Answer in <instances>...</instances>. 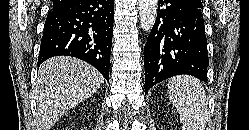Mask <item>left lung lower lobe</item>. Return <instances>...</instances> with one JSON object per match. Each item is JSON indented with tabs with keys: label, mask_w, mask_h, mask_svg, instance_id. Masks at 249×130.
<instances>
[{
	"label": "left lung lower lobe",
	"mask_w": 249,
	"mask_h": 130,
	"mask_svg": "<svg viewBox=\"0 0 249 130\" xmlns=\"http://www.w3.org/2000/svg\"><path fill=\"white\" fill-rule=\"evenodd\" d=\"M145 94L176 75L207 82L209 66L202 11L185 0H159L155 24L144 47Z\"/></svg>",
	"instance_id": "0a47b994"
}]
</instances>
